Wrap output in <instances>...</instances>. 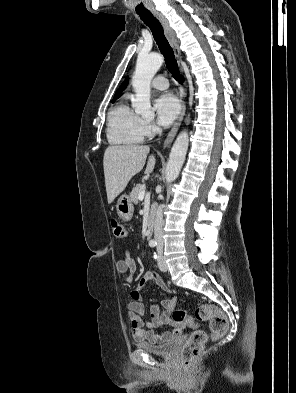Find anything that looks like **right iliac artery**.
Here are the masks:
<instances>
[{
  "instance_id": "right-iliac-artery-1",
  "label": "right iliac artery",
  "mask_w": 296,
  "mask_h": 393,
  "mask_svg": "<svg viewBox=\"0 0 296 393\" xmlns=\"http://www.w3.org/2000/svg\"><path fill=\"white\" fill-rule=\"evenodd\" d=\"M156 245H157V242H156V241L151 240V241L149 242V246H150V247H155Z\"/></svg>"
}]
</instances>
